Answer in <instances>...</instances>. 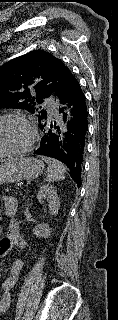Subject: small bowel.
<instances>
[{
    "mask_svg": "<svg viewBox=\"0 0 118 320\" xmlns=\"http://www.w3.org/2000/svg\"><path fill=\"white\" fill-rule=\"evenodd\" d=\"M3 202L5 204L6 210H9L10 213H12V209L15 208V202L12 199V197L4 196ZM13 227H15L17 230V225L15 223H12L10 225V230ZM13 246H17V245H13ZM22 269H23V261L22 260L14 261L9 267L7 274L0 285V314L5 313L10 307L11 290L16 285Z\"/></svg>",
    "mask_w": 118,
    "mask_h": 320,
    "instance_id": "small-bowel-1",
    "label": "small bowel"
}]
</instances>
